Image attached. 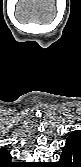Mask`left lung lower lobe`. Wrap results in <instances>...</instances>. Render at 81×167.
<instances>
[{
    "instance_id": "0a47b994",
    "label": "left lung lower lobe",
    "mask_w": 81,
    "mask_h": 167,
    "mask_svg": "<svg viewBox=\"0 0 81 167\" xmlns=\"http://www.w3.org/2000/svg\"><path fill=\"white\" fill-rule=\"evenodd\" d=\"M81 161V144L75 141H66L59 164L62 167H79Z\"/></svg>"
}]
</instances>
